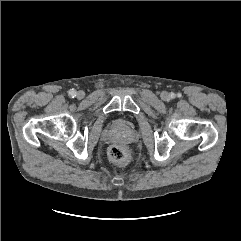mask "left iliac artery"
Masks as SVG:
<instances>
[{"label": "left iliac artery", "instance_id": "obj_1", "mask_svg": "<svg viewBox=\"0 0 241 241\" xmlns=\"http://www.w3.org/2000/svg\"><path fill=\"white\" fill-rule=\"evenodd\" d=\"M170 97H171V98H174V94H171Z\"/></svg>", "mask_w": 241, "mask_h": 241}]
</instances>
